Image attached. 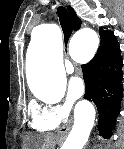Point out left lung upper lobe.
<instances>
[{
	"instance_id": "1",
	"label": "left lung upper lobe",
	"mask_w": 124,
	"mask_h": 149,
	"mask_svg": "<svg viewBox=\"0 0 124 149\" xmlns=\"http://www.w3.org/2000/svg\"><path fill=\"white\" fill-rule=\"evenodd\" d=\"M107 32H112V31H101L100 34L107 33Z\"/></svg>"
}]
</instances>
